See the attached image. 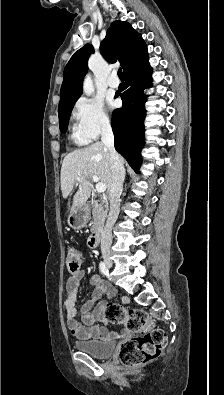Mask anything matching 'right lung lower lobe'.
Wrapping results in <instances>:
<instances>
[{"label": "right lung lower lobe", "instance_id": "right-lung-lower-lobe-1", "mask_svg": "<svg viewBox=\"0 0 224 395\" xmlns=\"http://www.w3.org/2000/svg\"><path fill=\"white\" fill-rule=\"evenodd\" d=\"M151 71L146 51L124 71L125 83L120 85L115 95L121 97L123 105L112 114L115 149L136 172H139L144 145V104L147 96L143 90L150 86Z\"/></svg>", "mask_w": 224, "mask_h": 395}]
</instances>
